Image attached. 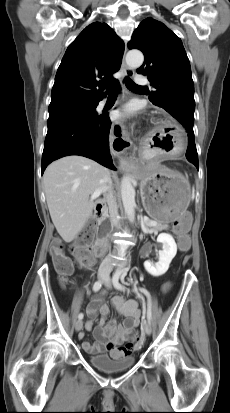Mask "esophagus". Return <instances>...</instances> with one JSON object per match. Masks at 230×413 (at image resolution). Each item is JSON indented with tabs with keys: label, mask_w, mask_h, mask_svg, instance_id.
I'll list each match as a JSON object with an SVG mask.
<instances>
[{
	"label": "esophagus",
	"mask_w": 230,
	"mask_h": 413,
	"mask_svg": "<svg viewBox=\"0 0 230 413\" xmlns=\"http://www.w3.org/2000/svg\"><path fill=\"white\" fill-rule=\"evenodd\" d=\"M125 53H126V47H125V52H124V56H123V59H122V67H123V70H124V75L128 76V77H133L134 76V71L127 66L126 61H125ZM122 82H124V79H122ZM122 135L123 136L125 135V131H124V133H122ZM125 141L124 142L127 145L122 148L123 151L126 149L127 146H129V143H128L129 141L127 139H125ZM118 151H120V150H118ZM119 167H120V169L125 170L129 167V164L126 160L121 159Z\"/></svg>",
	"instance_id": "1"
}]
</instances>
